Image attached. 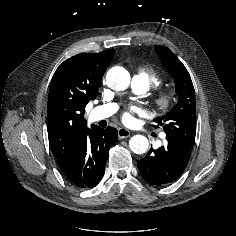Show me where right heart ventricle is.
<instances>
[{
	"instance_id": "e07e8e85",
	"label": "right heart ventricle",
	"mask_w": 236,
	"mask_h": 236,
	"mask_svg": "<svg viewBox=\"0 0 236 236\" xmlns=\"http://www.w3.org/2000/svg\"><path fill=\"white\" fill-rule=\"evenodd\" d=\"M136 77L145 83L149 88L161 82V77L151 66L141 68Z\"/></svg>"
}]
</instances>
